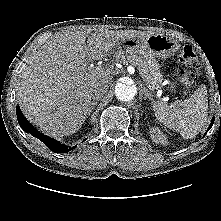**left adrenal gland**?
I'll return each mask as SVG.
<instances>
[{"mask_svg":"<svg viewBox=\"0 0 221 221\" xmlns=\"http://www.w3.org/2000/svg\"><path fill=\"white\" fill-rule=\"evenodd\" d=\"M142 92L144 93V98H145V99L148 98L150 101H152V103L154 102V99L152 98V95H151V93L148 91L147 88H144V89L142 90Z\"/></svg>","mask_w":221,"mask_h":221,"instance_id":"a2214340","label":"left adrenal gland"}]
</instances>
